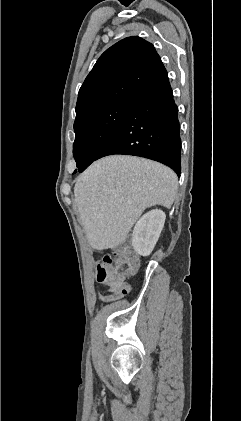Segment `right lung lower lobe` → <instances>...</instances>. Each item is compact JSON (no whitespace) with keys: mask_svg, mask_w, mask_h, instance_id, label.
Masks as SVG:
<instances>
[{"mask_svg":"<svg viewBox=\"0 0 241 421\" xmlns=\"http://www.w3.org/2000/svg\"><path fill=\"white\" fill-rule=\"evenodd\" d=\"M180 153L178 107L164 70L130 100L119 128L95 160L112 154L140 156L169 166L179 176Z\"/></svg>","mask_w":241,"mask_h":421,"instance_id":"right-lung-lower-lobe-1","label":"right lung lower lobe"}]
</instances>
